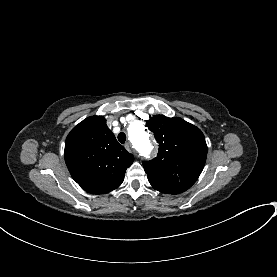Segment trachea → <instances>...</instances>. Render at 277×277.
Wrapping results in <instances>:
<instances>
[{
	"label": "trachea",
	"instance_id": "trachea-1",
	"mask_svg": "<svg viewBox=\"0 0 277 277\" xmlns=\"http://www.w3.org/2000/svg\"><path fill=\"white\" fill-rule=\"evenodd\" d=\"M118 140H119L120 143L124 144L125 141H126V134L123 133V132L119 133L118 134Z\"/></svg>",
	"mask_w": 277,
	"mask_h": 277
}]
</instances>
